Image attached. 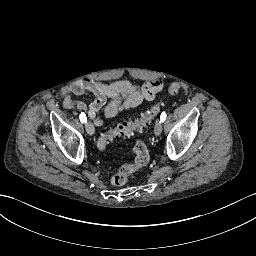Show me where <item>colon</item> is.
<instances>
[{"label":"colon","mask_w":256,"mask_h":256,"mask_svg":"<svg viewBox=\"0 0 256 256\" xmlns=\"http://www.w3.org/2000/svg\"><path fill=\"white\" fill-rule=\"evenodd\" d=\"M178 83H172L165 96L175 95L180 91ZM165 97L158 100L147 112L141 114L135 120H127L119 123L114 128L105 130L99 140L98 148L103 151L107 145L115 139L126 138L134 135L135 133L147 130L154 119L161 113ZM133 152L135 153V163L133 165H124L116 173L110 177V183L113 186L124 185L129 176L141 166L148 164L150 160V153L144 142L138 141L133 145Z\"/></svg>","instance_id":"obj_1"}]
</instances>
